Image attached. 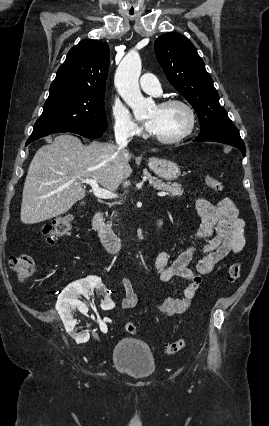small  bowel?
<instances>
[{
    "label": "small bowel",
    "instance_id": "small-bowel-1",
    "mask_svg": "<svg viewBox=\"0 0 269 426\" xmlns=\"http://www.w3.org/2000/svg\"><path fill=\"white\" fill-rule=\"evenodd\" d=\"M194 200L201 219L197 237L206 242L203 246L204 256L196 270L189 267L193 258L192 247L182 250L173 260L167 251L159 252L155 257L154 266L160 280L170 281L180 277L186 281V285L178 290V294L155 303L159 311L168 315L188 312L200 287L202 276L210 274L225 257L240 253L246 246V224L239 217L238 209L230 199L222 198L217 204L199 197ZM121 285L125 296L121 299L120 306L123 309L137 307L139 297L130 279L121 277Z\"/></svg>",
    "mask_w": 269,
    "mask_h": 426
}]
</instances>
